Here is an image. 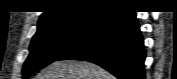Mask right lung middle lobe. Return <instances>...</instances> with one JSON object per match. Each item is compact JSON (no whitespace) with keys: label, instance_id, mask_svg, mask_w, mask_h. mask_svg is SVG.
<instances>
[{"label":"right lung middle lobe","instance_id":"1","mask_svg":"<svg viewBox=\"0 0 177 79\" xmlns=\"http://www.w3.org/2000/svg\"><path fill=\"white\" fill-rule=\"evenodd\" d=\"M101 17L102 15H90L38 27L31 41L30 54L23 67L24 79L58 60L79 44L99 23Z\"/></svg>","mask_w":177,"mask_h":79}]
</instances>
